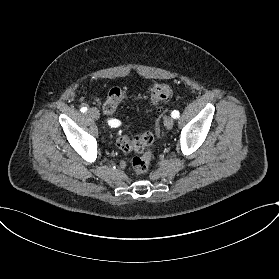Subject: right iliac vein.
Instances as JSON below:
<instances>
[{
    "label": "right iliac vein",
    "instance_id": "right-iliac-vein-1",
    "mask_svg": "<svg viewBox=\"0 0 279 279\" xmlns=\"http://www.w3.org/2000/svg\"><path fill=\"white\" fill-rule=\"evenodd\" d=\"M89 114L96 120L99 119V111L97 108L93 107L89 109Z\"/></svg>",
    "mask_w": 279,
    "mask_h": 279
}]
</instances>
